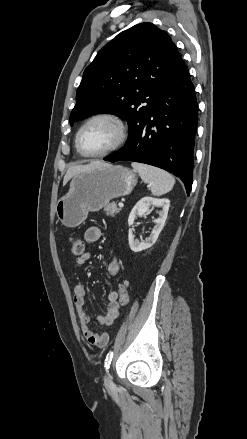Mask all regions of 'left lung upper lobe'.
Returning a JSON list of instances; mask_svg holds the SVG:
<instances>
[{
	"instance_id": "obj_1",
	"label": "left lung upper lobe",
	"mask_w": 247,
	"mask_h": 439,
	"mask_svg": "<svg viewBox=\"0 0 247 439\" xmlns=\"http://www.w3.org/2000/svg\"><path fill=\"white\" fill-rule=\"evenodd\" d=\"M186 68L165 31L152 23L135 25L105 45L85 69L70 125L110 113L128 122L130 138L151 114L160 92Z\"/></svg>"
}]
</instances>
